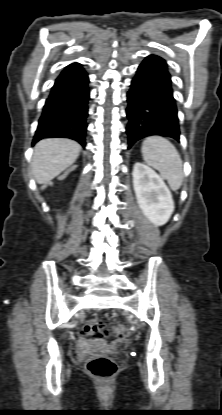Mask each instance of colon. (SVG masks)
<instances>
[{"label":"colon","mask_w":222,"mask_h":415,"mask_svg":"<svg viewBox=\"0 0 222 415\" xmlns=\"http://www.w3.org/2000/svg\"><path fill=\"white\" fill-rule=\"evenodd\" d=\"M108 334L109 331L105 328V325L97 319L86 321L81 326V335L85 337L101 338ZM116 337L118 339L125 337V332L122 328H116ZM85 368L93 377L108 380L117 371L116 357L105 353L90 354L86 359Z\"/></svg>","instance_id":"colon-1"}]
</instances>
